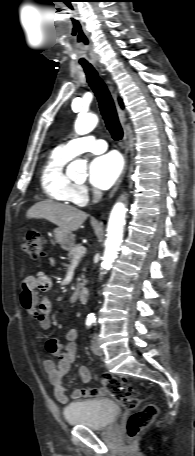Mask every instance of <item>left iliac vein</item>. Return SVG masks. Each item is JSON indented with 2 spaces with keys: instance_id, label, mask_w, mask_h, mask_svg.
Here are the masks:
<instances>
[{
  "instance_id": "obj_1",
  "label": "left iliac vein",
  "mask_w": 195,
  "mask_h": 456,
  "mask_svg": "<svg viewBox=\"0 0 195 456\" xmlns=\"http://www.w3.org/2000/svg\"><path fill=\"white\" fill-rule=\"evenodd\" d=\"M91 349L95 355H98V356L103 355V350L100 348L98 342H93L91 345Z\"/></svg>"
}]
</instances>
